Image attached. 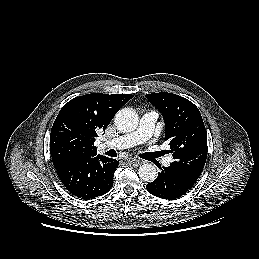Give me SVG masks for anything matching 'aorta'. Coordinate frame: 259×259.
Instances as JSON below:
<instances>
[{
	"instance_id": "aorta-1",
	"label": "aorta",
	"mask_w": 259,
	"mask_h": 259,
	"mask_svg": "<svg viewBox=\"0 0 259 259\" xmlns=\"http://www.w3.org/2000/svg\"><path fill=\"white\" fill-rule=\"evenodd\" d=\"M117 129L121 132L134 131L138 126V115L131 108H123L117 112L114 118ZM139 177L146 182H152L157 177L155 166L150 163H144L138 169Z\"/></svg>"
}]
</instances>
